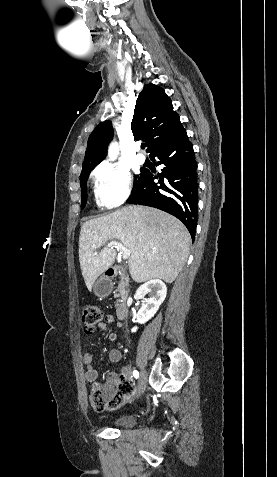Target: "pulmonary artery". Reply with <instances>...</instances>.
I'll use <instances>...</instances> for the list:
<instances>
[{"label":"pulmonary artery","mask_w":277,"mask_h":477,"mask_svg":"<svg viewBox=\"0 0 277 477\" xmlns=\"http://www.w3.org/2000/svg\"><path fill=\"white\" fill-rule=\"evenodd\" d=\"M136 159V162L139 163V164H143L146 160L145 156L141 153H138L135 157Z\"/></svg>","instance_id":"pulmonary-artery-1"}]
</instances>
